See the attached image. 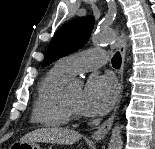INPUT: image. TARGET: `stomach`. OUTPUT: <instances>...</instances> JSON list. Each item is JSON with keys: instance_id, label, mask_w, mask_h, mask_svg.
Instances as JSON below:
<instances>
[{"instance_id": "0dacf381", "label": "stomach", "mask_w": 155, "mask_h": 149, "mask_svg": "<svg viewBox=\"0 0 155 149\" xmlns=\"http://www.w3.org/2000/svg\"><path fill=\"white\" fill-rule=\"evenodd\" d=\"M13 149H41L37 142H22L18 141L13 144Z\"/></svg>"}]
</instances>
